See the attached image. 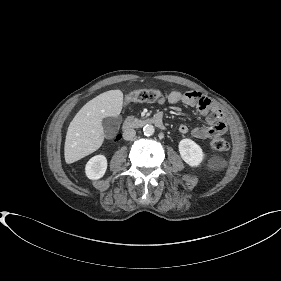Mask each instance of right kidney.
Masks as SVG:
<instances>
[{"mask_svg": "<svg viewBox=\"0 0 281 281\" xmlns=\"http://www.w3.org/2000/svg\"><path fill=\"white\" fill-rule=\"evenodd\" d=\"M107 170V159L104 155L92 157L86 164L85 173L91 180H97L104 176Z\"/></svg>", "mask_w": 281, "mask_h": 281, "instance_id": "right-kidney-1", "label": "right kidney"}]
</instances>
